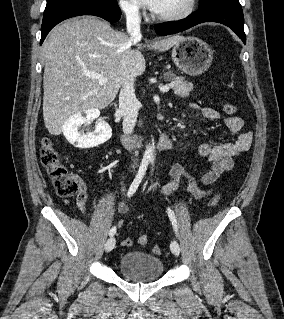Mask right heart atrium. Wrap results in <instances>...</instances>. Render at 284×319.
I'll return each mask as SVG.
<instances>
[{
  "label": "right heart atrium",
  "mask_w": 284,
  "mask_h": 319,
  "mask_svg": "<svg viewBox=\"0 0 284 319\" xmlns=\"http://www.w3.org/2000/svg\"><path fill=\"white\" fill-rule=\"evenodd\" d=\"M119 6L128 20L138 21L141 18V10L134 0H119Z\"/></svg>",
  "instance_id": "1"
}]
</instances>
